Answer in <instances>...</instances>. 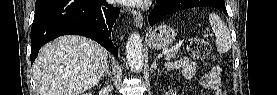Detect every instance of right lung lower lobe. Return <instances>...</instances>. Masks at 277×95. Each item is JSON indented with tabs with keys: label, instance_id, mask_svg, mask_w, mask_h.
Segmentation results:
<instances>
[{
	"label": "right lung lower lobe",
	"instance_id": "98d812e1",
	"mask_svg": "<svg viewBox=\"0 0 277 95\" xmlns=\"http://www.w3.org/2000/svg\"><path fill=\"white\" fill-rule=\"evenodd\" d=\"M120 9L105 0H36L31 29V63L39 49L61 35L89 37L118 57L111 30Z\"/></svg>",
	"mask_w": 277,
	"mask_h": 95
}]
</instances>
